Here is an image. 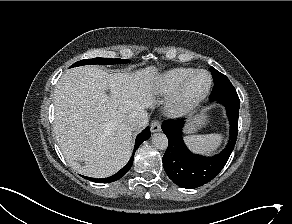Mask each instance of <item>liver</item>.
Segmentation results:
<instances>
[{
    "label": "liver",
    "mask_w": 292,
    "mask_h": 224,
    "mask_svg": "<svg viewBox=\"0 0 292 224\" xmlns=\"http://www.w3.org/2000/svg\"><path fill=\"white\" fill-rule=\"evenodd\" d=\"M157 75L158 68L151 65L133 74L82 66L61 76L54 90V133L74 170L104 178L127 163L133 131L127 121L140 114L143 124L136 131L146 126L145 109L155 103Z\"/></svg>",
    "instance_id": "1"
}]
</instances>
